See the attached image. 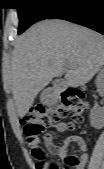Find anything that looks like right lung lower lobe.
Masks as SVG:
<instances>
[{"mask_svg": "<svg viewBox=\"0 0 104 169\" xmlns=\"http://www.w3.org/2000/svg\"><path fill=\"white\" fill-rule=\"evenodd\" d=\"M48 19H64L104 34V0H73Z\"/></svg>", "mask_w": 104, "mask_h": 169, "instance_id": "right-lung-lower-lobe-1", "label": "right lung lower lobe"}]
</instances>
